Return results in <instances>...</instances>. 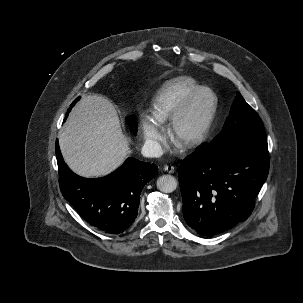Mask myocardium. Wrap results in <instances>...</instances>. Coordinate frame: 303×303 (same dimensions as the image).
Listing matches in <instances>:
<instances>
[{
	"label": "myocardium",
	"instance_id": "1",
	"mask_svg": "<svg viewBox=\"0 0 303 303\" xmlns=\"http://www.w3.org/2000/svg\"><path fill=\"white\" fill-rule=\"evenodd\" d=\"M206 92L212 96V105L210 107V110L208 111V114L206 115L200 127L191 136L187 138H181L180 127L184 118L191 111L196 100L203 93ZM218 107H219V98L216 92L208 86L199 87L186 99V101L174 112V114L170 118L169 128L171 135L180 143H182L185 147L188 148H192L201 144L213 124V121L218 111Z\"/></svg>",
	"mask_w": 303,
	"mask_h": 303
}]
</instances>
